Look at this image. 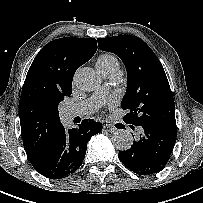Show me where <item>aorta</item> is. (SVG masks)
<instances>
[{
	"label": "aorta",
	"instance_id": "1",
	"mask_svg": "<svg viewBox=\"0 0 203 203\" xmlns=\"http://www.w3.org/2000/svg\"><path fill=\"white\" fill-rule=\"evenodd\" d=\"M73 82L80 91L90 92L99 87L100 78L95 70L84 67L75 73ZM112 142L118 150H128L133 145V137L127 130H117L112 136Z\"/></svg>",
	"mask_w": 203,
	"mask_h": 203
}]
</instances>
